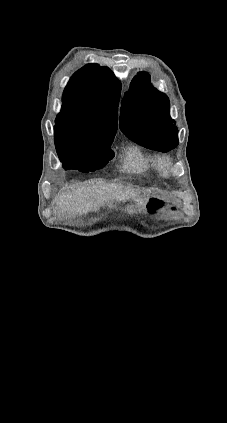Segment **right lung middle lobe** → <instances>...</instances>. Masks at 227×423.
Listing matches in <instances>:
<instances>
[{
	"instance_id": "dd1d6c3e",
	"label": "right lung middle lobe",
	"mask_w": 227,
	"mask_h": 423,
	"mask_svg": "<svg viewBox=\"0 0 227 423\" xmlns=\"http://www.w3.org/2000/svg\"><path fill=\"white\" fill-rule=\"evenodd\" d=\"M113 139H69L55 141V145L63 166L87 172L104 167L114 157L111 149Z\"/></svg>"
}]
</instances>
